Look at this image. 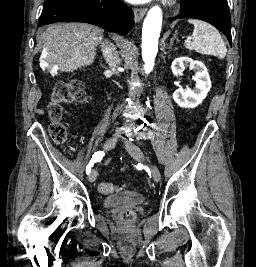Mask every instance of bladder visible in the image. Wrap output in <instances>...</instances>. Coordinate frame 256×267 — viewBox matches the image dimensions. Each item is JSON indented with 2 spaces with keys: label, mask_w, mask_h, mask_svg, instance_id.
I'll return each instance as SVG.
<instances>
[{
  "label": "bladder",
  "mask_w": 256,
  "mask_h": 267,
  "mask_svg": "<svg viewBox=\"0 0 256 267\" xmlns=\"http://www.w3.org/2000/svg\"><path fill=\"white\" fill-rule=\"evenodd\" d=\"M104 206L148 204L146 195H109L102 199Z\"/></svg>",
  "instance_id": "1"
}]
</instances>
